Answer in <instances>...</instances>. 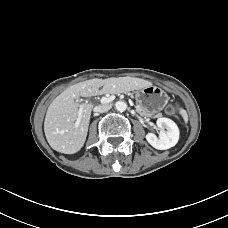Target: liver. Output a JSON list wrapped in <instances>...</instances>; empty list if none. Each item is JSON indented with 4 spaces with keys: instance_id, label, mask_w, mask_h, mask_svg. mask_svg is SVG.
<instances>
[{
    "instance_id": "obj_1",
    "label": "liver",
    "mask_w": 228,
    "mask_h": 228,
    "mask_svg": "<svg viewBox=\"0 0 228 228\" xmlns=\"http://www.w3.org/2000/svg\"><path fill=\"white\" fill-rule=\"evenodd\" d=\"M150 81L133 77H111L107 79H90L67 88L49 105L44 132L52 149L74 154L84 145L90 123L92 103H79L80 97H90L99 93H121L151 86ZM103 86L102 90H99ZM83 106L82 118L76 125L78 111Z\"/></svg>"
}]
</instances>
